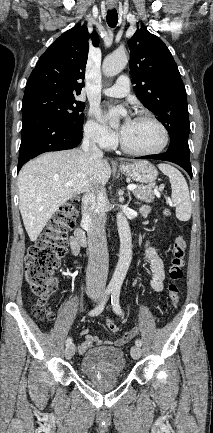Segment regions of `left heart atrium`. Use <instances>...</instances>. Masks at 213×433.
Listing matches in <instances>:
<instances>
[{
    "mask_svg": "<svg viewBox=\"0 0 213 433\" xmlns=\"http://www.w3.org/2000/svg\"><path fill=\"white\" fill-rule=\"evenodd\" d=\"M131 122V120L130 119H126L125 120V122L123 123V125H122V128L121 129H123L124 127H126L129 123Z\"/></svg>",
    "mask_w": 213,
    "mask_h": 433,
    "instance_id": "left-heart-atrium-1",
    "label": "left heart atrium"
}]
</instances>
